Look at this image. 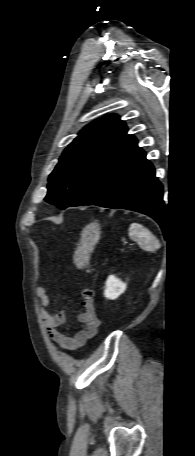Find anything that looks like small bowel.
<instances>
[{"instance_id": "small-bowel-1", "label": "small bowel", "mask_w": 195, "mask_h": 456, "mask_svg": "<svg viewBox=\"0 0 195 456\" xmlns=\"http://www.w3.org/2000/svg\"><path fill=\"white\" fill-rule=\"evenodd\" d=\"M35 293L40 299L38 309L43 319L44 327L61 349L74 351L95 336L99 327V320L95 311L94 293L92 290L85 289L82 292L81 304L83 311L79 315L82 327L73 336H69L58 330L59 326L66 323V314L64 311L51 312L49 307L50 300L46 290L43 287H37Z\"/></svg>"}]
</instances>
